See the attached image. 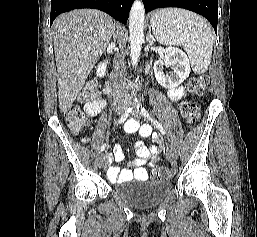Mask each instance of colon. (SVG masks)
<instances>
[{
	"mask_svg": "<svg viewBox=\"0 0 257 237\" xmlns=\"http://www.w3.org/2000/svg\"><path fill=\"white\" fill-rule=\"evenodd\" d=\"M208 85V76L197 75L188 83V91L192 94H203ZM97 89L94 83L87 84L80 93V100L87 101L95 99ZM182 118L188 124L196 123L199 118V106L195 102L185 101L180 106ZM70 128L74 133H78L86 128L89 124L88 118L83 114L79 106H70L65 113ZM171 177V171L167 167H160L152 171L151 178L153 181L167 180Z\"/></svg>",
	"mask_w": 257,
	"mask_h": 237,
	"instance_id": "1",
	"label": "colon"
}]
</instances>
